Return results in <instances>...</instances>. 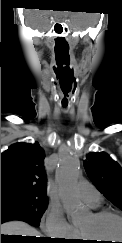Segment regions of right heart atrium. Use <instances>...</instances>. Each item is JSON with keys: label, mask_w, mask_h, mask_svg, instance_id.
Wrapping results in <instances>:
<instances>
[{"label": "right heart atrium", "mask_w": 122, "mask_h": 243, "mask_svg": "<svg viewBox=\"0 0 122 243\" xmlns=\"http://www.w3.org/2000/svg\"><path fill=\"white\" fill-rule=\"evenodd\" d=\"M43 230L48 236L56 239L78 236L77 230L65 220L58 206H51L48 209L43 222Z\"/></svg>", "instance_id": "right-heart-atrium-1"}]
</instances>
